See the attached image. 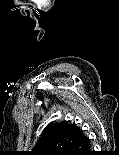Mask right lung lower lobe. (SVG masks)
<instances>
[{
  "label": "right lung lower lobe",
  "mask_w": 119,
  "mask_h": 155,
  "mask_svg": "<svg viewBox=\"0 0 119 155\" xmlns=\"http://www.w3.org/2000/svg\"><path fill=\"white\" fill-rule=\"evenodd\" d=\"M63 155H91L89 138L84 136L82 139L72 144Z\"/></svg>",
  "instance_id": "obj_1"
}]
</instances>
